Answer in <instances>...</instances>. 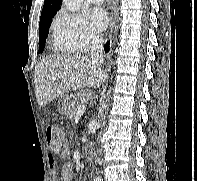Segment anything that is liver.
Masks as SVG:
<instances>
[{
    "mask_svg": "<svg viewBox=\"0 0 197 181\" xmlns=\"http://www.w3.org/2000/svg\"><path fill=\"white\" fill-rule=\"evenodd\" d=\"M87 56L50 55L35 67L34 83L38 105L45 107L55 98L83 87L99 88L103 72Z\"/></svg>",
    "mask_w": 197,
    "mask_h": 181,
    "instance_id": "6515ba94",
    "label": "liver"
}]
</instances>
